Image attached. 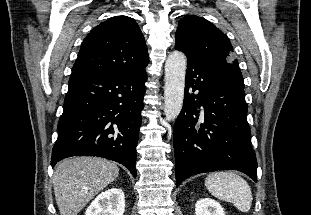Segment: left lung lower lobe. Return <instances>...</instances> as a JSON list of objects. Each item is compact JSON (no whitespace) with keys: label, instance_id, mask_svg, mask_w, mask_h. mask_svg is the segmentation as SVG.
<instances>
[{"label":"left lung lower lobe","instance_id":"obj_1","mask_svg":"<svg viewBox=\"0 0 311 215\" xmlns=\"http://www.w3.org/2000/svg\"><path fill=\"white\" fill-rule=\"evenodd\" d=\"M183 103L173 131L176 186L217 170H238L257 182L244 89L187 57Z\"/></svg>","mask_w":311,"mask_h":215}]
</instances>
